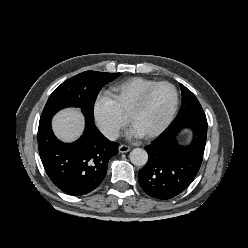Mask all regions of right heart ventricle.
<instances>
[{
    "label": "right heart ventricle",
    "mask_w": 248,
    "mask_h": 248,
    "mask_svg": "<svg viewBox=\"0 0 248 248\" xmlns=\"http://www.w3.org/2000/svg\"><path fill=\"white\" fill-rule=\"evenodd\" d=\"M155 82L144 77H132L112 85L108 93L119 111L127 116L130 107L135 103L141 93Z\"/></svg>",
    "instance_id": "1"
}]
</instances>
